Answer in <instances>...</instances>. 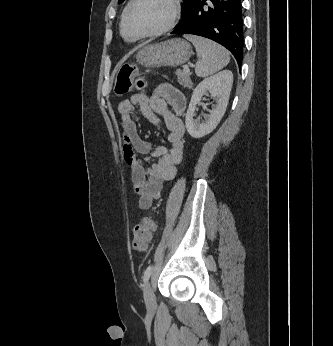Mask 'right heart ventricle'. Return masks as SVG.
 <instances>
[{
  "mask_svg": "<svg viewBox=\"0 0 333 346\" xmlns=\"http://www.w3.org/2000/svg\"><path fill=\"white\" fill-rule=\"evenodd\" d=\"M129 5V3L125 6V8H124V10H123V13H122V16H121V21H122V17H123V15H124V13H125V11H126V8H127V6ZM121 21H120V30H121Z\"/></svg>",
  "mask_w": 333,
  "mask_h": 346,
  "instance_id": "e07e8e85",
  "label": "right heart ventricle"
}]
</instances>
